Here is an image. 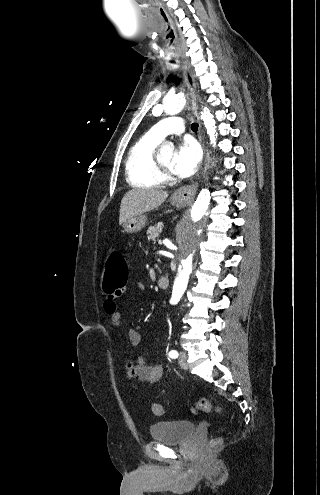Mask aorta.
<instances>
[{
	"mask_svg": "<svg viewBox=\"0 0 320 495\" xmlns=\"http://www.w3.org/2000/svg\"><path fill=\"white\" fill-rule=\"evenodd\" d=\"M184 95H175L165 97L162 104V110L168 115H176L186 105ZM159 108L154 107L153 112ZM207 134L213 147L216 146L217 127L212 114L208 109L202 112ZM173 144H168L161 151L173 150ZM218 207L216 202L211 198L208 189H202L198 194L190 212L183 218L177 228V243L179 246V256L181 264L178 269L172 291L171 303L177 304L184 292L186 291L190 274L192 273V264L196 255L199 242L204 234L213 223V217L217 213Z\"/></svg>",
	"mask_w": 320,
	"mask_h": 495,
	"instance_id": "aorta-1",
	"label": "aorta"
}]
</instances>
